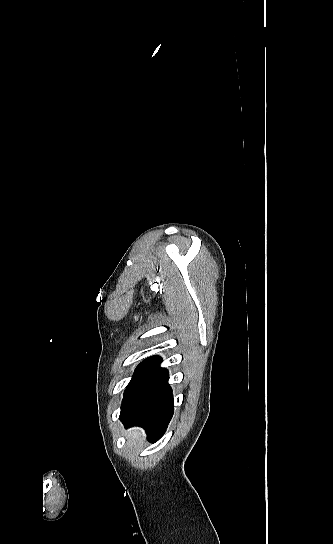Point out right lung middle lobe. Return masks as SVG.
<instances>
[{
    "mask_svg": "<svg viewBox=\"0 0 333 544\" xmlns=\"http://www.w3.org/2000/svg\"><path fill=\"white\" fill-rule=\"evenodd\" d=\"M143 362H144V361H143ZM143 362H142V363H143ZM142 363H141V364H142ZM141 364H140V365H141ZM140 365H139V366H138V367L136 368L135 372H136V371H137V369H138V368L140 367Z\"/></svg>",
    "mask_w": 333,
    "mask_h": 544,
    "instance_id": "obj_1",
    "label": "right lung middle lobe"
}]
</instances>
